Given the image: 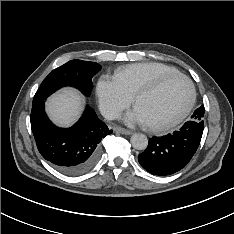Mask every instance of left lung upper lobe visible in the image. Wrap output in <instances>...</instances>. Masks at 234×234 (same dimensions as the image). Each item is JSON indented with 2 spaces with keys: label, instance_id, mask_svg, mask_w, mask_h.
<instances>
[{
  "label": "left lung upper lobe",
  "instance_id": "1",
  "mask_svg": "<svg viewBox=\"0 0 234 234\" xmlns=\"http://www.w3.org/2000/svg\"><path fill=\"white\" fill-rule=\"evenodd\" d=\"M204 106L199 107L198 109H196L193 113V115L191 116V120L197 121V122H201L204 123Z\"/></svg>",
  "mask_w": 234,
  "mask_h": 234
}]
</instances>
